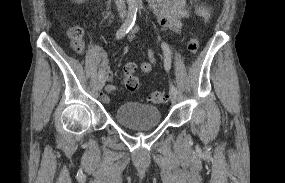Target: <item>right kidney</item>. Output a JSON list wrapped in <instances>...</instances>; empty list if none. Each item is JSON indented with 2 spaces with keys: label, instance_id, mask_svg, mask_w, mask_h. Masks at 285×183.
I'll return each instance as SVG.
<instances>
[{
  "label": "right kidney",
  "instance_id": "ca27d5eb",
  "mask_svg": "<svg viewBox=\"0 0 285 183\" xmlns=\"http://www.w3.org/2000/svg\"><path fill=\"white\" fill-rule=\"evenodd\" d=\"M71 1L80 4L83 3L85 0H71Z\"/></svg>",
  "mask_w": 285,
  "mask_h": 183
}]
</instances>
